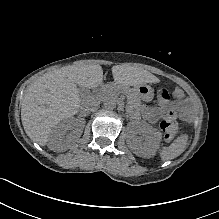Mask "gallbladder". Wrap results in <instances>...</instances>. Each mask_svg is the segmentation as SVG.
<instances>
[{
  "label": "gallbladder",
  "instance_id": "1",
  "mask_svg": "<svg viewBox=\"0 0 219 219\" xmlns=\"http://www.w3.org/2000/svg\"><path fill=\"white\" fill-rule=\"evenodd\" d=\"M88 94H89V91H88V90H86V89H84V90L80 89V95H81V96H87Z\"/></svg>",
  "mask_w": 219,
  "mask_h": 219
}]
</instances>
